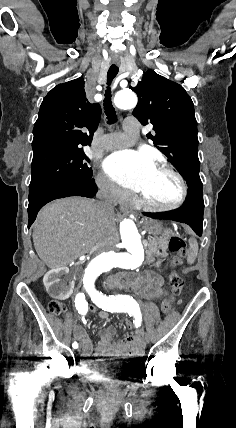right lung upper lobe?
I'll return each instance as SVG.
<instances>
[{
  "label": "right lung upper lobe",
  "mask_w": 236,
  "mask_h": 428,
  "mask_svg": "<svg viewBox=\"0 0 236 428\" xmlns=\"http://www.w3.org/2000/svg\"><path fill=\"white\" fill-rule=\"evenodd\" d=\"M99 104L87 101L82 77L59 84L44 98L32 148L90 144L100 120Z\"/></svg>",
  "instance_id": "cb5924a9"
}]
</instances>
